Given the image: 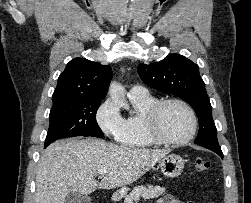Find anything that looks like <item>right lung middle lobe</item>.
<instances>
[{"label": "right lung middle lobe", "mask_w": 251, "mask_h": 203, "mask_svg": "<svg viewBox=\"0 0 251 203\" xmlns=\"http://www.w3.org/2000/svg\"><path fill=\"white\" fill-rule=\"evenodd\" d=\"M102 100H78L52 107L45 147L53 141L75 136L102 138L96 112Z\"/></svg>", "instance_id": "dd1d6c3e"}]
</instances>
